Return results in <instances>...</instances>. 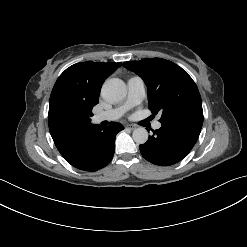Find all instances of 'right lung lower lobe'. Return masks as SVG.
I'll return each mask as SVG.
<instances>
[{
	"label": "right lung lower lobe",
	"instance_id": "right-lung-lower-lobe-1",
	"mask_svg": "<svg viewBox=\"0 0 247 247\" xmlns=\"http://www.w3.org/2000/svg\"><path fill=\"white\" fill-rule=\"evenodd\" d=\"M123 129L124 127L117 122H111L105 128L90 123L81 132L56 147L73 167L94 172L105 167L112 160L115 137Z\"/></svg>",
	"mask_w": 247,
	"mask_h": 247
}]
</instances>
